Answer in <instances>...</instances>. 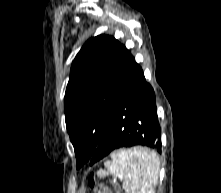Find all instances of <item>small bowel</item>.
Segmentation results:
<instances>
[{"label": "small bowel", "instance_id": "small-bowel-1", "mask_svg": "<svg viewBox=\"0 0 221 193\" xmlns=\"http://www.w3.org/2000/svg\"><path fill=\"white\" fill-rule=\"evenodd\" d=\"M103 188H104V193H112V191L108 187L103 186Z\"/></svg>", "mask_w": 221, "mask_h": 193}]
</instances>
